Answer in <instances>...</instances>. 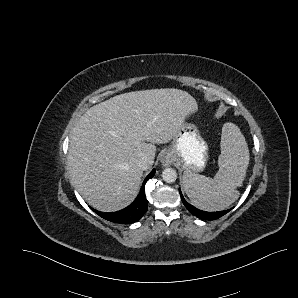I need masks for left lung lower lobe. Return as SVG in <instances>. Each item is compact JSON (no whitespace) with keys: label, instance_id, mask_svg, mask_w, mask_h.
<instances>
[{"label":"left lung lower lobe","instance_id":"0a47b994","mask_svg":"<svg viewBox=\"0 0 298 298\" xmlns=\"http://www.w3.org/2000/svg\"><path fill=\"white\" fill-rule=\"evenodd\" d=\"M180 192V196H181V200L183 202V204L185 205V207L196 217L200 218V219H204V220H213V219H218L220 217H222L223 215H225L226 213H228L231 209L229 210H225V211H219V212H205V211H201L195 207H193L192 205H190L189 203H187L185 201V199L182 196L181 191Z\"/></svg>","mask_w":298,"mask_h":298}]
</instances>
